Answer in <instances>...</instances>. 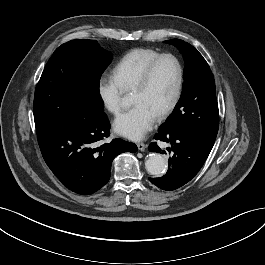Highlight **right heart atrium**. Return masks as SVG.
Listing matches in <instances>:
<instances>
[{
    "instance_id": "right-heart-atrium-1",
    "label": "right heart atrium",
    "mask_w": 265,
    "mask_h": 265,
    "mask_svg": "<svg viewBox=\"0 0 265 265\" xmlns=\"http://www.w3.org/2000/svg\"><path fill=\"white\" fill-rule=\"evenodd\" d=\"M97 94L106 110L118 114L122 108L123 90L111 75H102L97 82Z\"/></svg>"
}]
</instances>
